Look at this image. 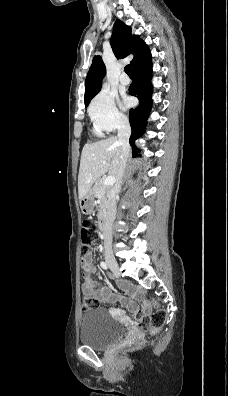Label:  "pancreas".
I'll use <instances>...</instances> for the list:
<instances>
[{
  "label": "pancreas",
  "mask_w": 228,
  "mask_h": 396,
  "mask_svg": "<svg viewBox=\"0 0 228 396\" xmlns=\"http://www.w3.org/2000/svg\"><path fill=\"white\" fill-rule=\"evenodd\" d=\"M93 192L95 197L100 199L98 218L102 219L106 213L108 199L111 196L112 188L110 186H106L103 179H99L95 182Z\"/></svg>",
  "instance_id": "obj_1"
}]
</instances>
